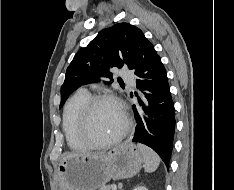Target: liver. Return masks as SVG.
<instances>
[{
    "label": "liver",
    "mask_w": 234,
    "mask_h": 190,
    "mask_svg": "<svg viewBox=\"0 0 234 190\" xmlns=\"http://www.w3.org/2000/svg\"><path fill=\"white\" fill-rule=\"evenodd\" d=\"M87 155H91V154H87ZM78 156H82V154H69V155H67L66 157H64V159H65V158L78 157Z\"/></svg>",
    "instance_id": "1"
}]
</instances>
